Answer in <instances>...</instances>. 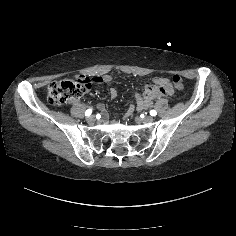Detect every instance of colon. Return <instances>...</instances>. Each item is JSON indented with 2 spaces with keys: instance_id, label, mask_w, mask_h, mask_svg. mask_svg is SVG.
Listing matches in <instances>:
<instances>
[{
  "instance_id": "5ec220e1",
  "label": "colon",
  "mask_w": 236,
  "mask_h": 236,
  "mask_svg": "<svg viewBox=\"0 0 236 236\" xmlns=\"http://www.w3.org/2000/svg\"><path fill=\"white\" fill-rule=\"evenodd\" d=\"M172 81L176 89L180 91L185 89L184 81L180 76H173ZM90 86L91 79L85 76L59 79L49 84L46 91L47 100L52 105H62L80 98Z\"/></svg>"
}]
</instances>
